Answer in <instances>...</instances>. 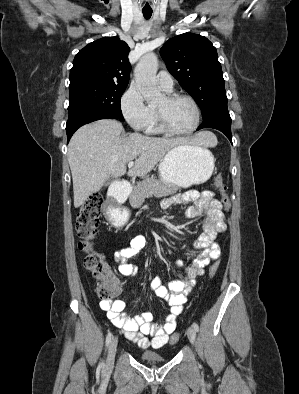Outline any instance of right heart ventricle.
<instances>
[{
    "label": "right heart ventricle",
    "mask_w": 299,
    "mask_h": 394,
    "mask_svg": "<svg viewBox=\"0 0 299 394\" xmlns=\"http://www.w3.org/2000/svg\"><path fill=\"white\" fill-rule=\"evenodd\" d=\"M167 93H170L171 91H166ZM153 110V117L150 121V123L148 124L147 128H146V132L149 134H158V133H162V129L160 128L159 124H158V120H157V116H156V111L154 108H152Z\"/></svg>",
    "instance_id": "1"
}]
</instances>
